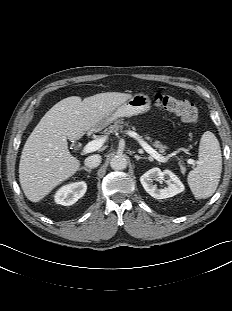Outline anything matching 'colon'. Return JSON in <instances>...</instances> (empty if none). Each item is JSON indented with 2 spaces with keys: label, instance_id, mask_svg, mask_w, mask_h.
<instances>
[{
  "label": "colon",
  "instance_id": "5ec220e1",
  "mask_svg": "<svg viewBox=\"0 0 232 311\" xmlns=\"http://www.w3.org/2000/svg\"><path fill=\"white\" fill-rule=\"evenodd\" d=\"M156 106L165 111L178 115L182 121L195 124L199 121V111L196 105L188 100L178 99L172 96L156 94L154 96Z\"/></svg>",
  "mask_w": 232,
  "mask_h": 311
}]
</instances>
